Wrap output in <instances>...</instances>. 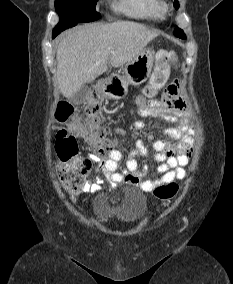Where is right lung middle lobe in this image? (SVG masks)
<instances>
[{
  "label": "right lung middle lobe",
  "mask_w": 233,
  "mask_h": 284,
  "mask_svg": "<svg viewBox=\"0 0 233 284\" xmlns=\"http://www.w3.org/2000/svg\"><path fill=\"white\" fill-rule=\"evenodd\" d=\"M98 0H56L55 8L60 16L58 25L53 29V38L61 31L75 26L79 22H91L101 15L96 12Z\"/></svg>",
  "instance_id": "1"
}]
</instances>
